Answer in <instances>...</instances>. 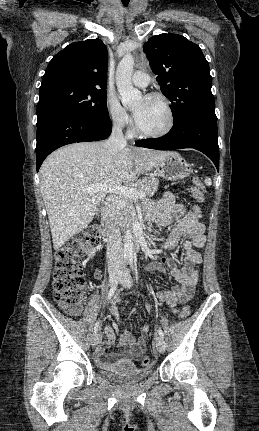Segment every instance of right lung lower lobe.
<instances>
[{
  "label": "right lung lower lobe",
  "instance_id": "1",
  "mask_svg": "<svg viewBox=\"0 0 259 431\" xmlns=\"http://www.w3.org/2000/svg\"><path fill=\"white\" fill-rule=\"evenodd\" d=\"M112 131L110 118L57 111L37 120L36 169L57 148L66 144L99 141L108 138Z\"/></svg>",
  "mask_w": 259,
  "mask_h": 431
}]
</instances>
